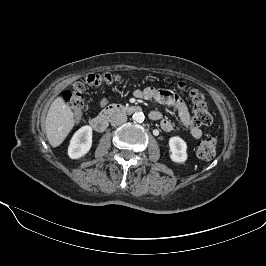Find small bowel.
Returning <instances> with one entry per match:
<instances>
[{"label":"small bowel","instance_id":"1","mask_svg":"<svg viewBox=\"0 0 266 266\" xmlns=\"http://www.w3.org/2000/svg\"><path fill=\"white\" fill-rule=\"evenodd\" d=\"M133 95L139 99L154 100L160 104L171 106L174 109L179 122L184 127L190 129L191 136L194 139H200L202 137V130L198 126L192 125L187 106L174 92L167 89H159L149 86L143 89L134 90ZM103 104H105V101H103ZM151 117L155 120H160L161 128L165 132L173 130V123L170 120L163 118L159 111L151 112Z\"/></svg>","mask_w":266,"mask_h":266}]
</instances>
